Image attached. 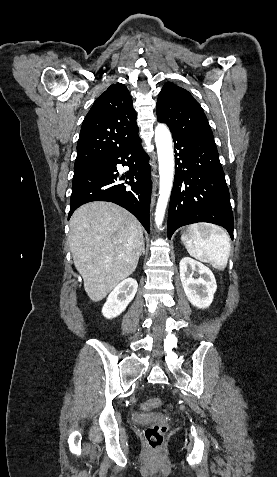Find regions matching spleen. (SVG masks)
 Here are the masks:
<instances>
[{"label":"spleen","instance_id":"3e777b00","mask_svg":"<svg viewBox=\"0 0 277 477\" xmlns=\"http://www.w3.org/2000/svg\"><path fill=\"white\" fill-rule=\"evenodd\" d=\"M181 240L192 257L221 271L226 268L231 250L230 237L219 226L192 224L181 236Z\"/></svg>","mask_w":277,"mask_h":477}]
</instances>
